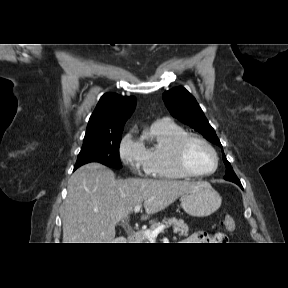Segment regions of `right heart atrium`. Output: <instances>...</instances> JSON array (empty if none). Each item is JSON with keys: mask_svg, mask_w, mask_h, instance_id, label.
<instances>
[{"mask_svg": "<svg viewBox=\"0 0 288 288\" xmlns=\"http://www.w3.org/2000/svg\"><path fill=\"white\" fill-rule=\"evenodd\" d=\"M119 157L122 163L132 172L145 170L146 151L143 143L137 140L132 132L123 136L119 143Z\"/></svg>", "mask_w": 288, "mask_h": 288, "instance_id": "obj_1", "label": "right heart atrium"}]
</instances>
